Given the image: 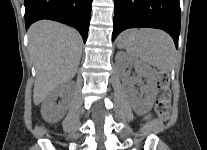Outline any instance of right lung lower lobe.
I'll return each mask as SVG.
<instances>
[{"instance_id": "obj_1", "label": "right lung lower lobe", "mask_w": 207, "mask_h": 150, "mask_svg": "<svg viewBox=\"0 0 207 150\" xmlns=\"http://www.w3.org/2000/svg\"><path fill=\"white\" fill-rule=\"evenodd\" d=\"M92 0H24L25 25L41 19L58 21L76 28L86 42Z\"/></svg>"}]
</instances>
